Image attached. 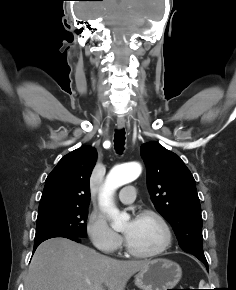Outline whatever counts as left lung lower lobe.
I'll return each instance as SVG.
<instances>
[{
    "label": "left lung lower lobe",
    "mask_w": 236,
    "mask_h": 290,
    "mask_svg": "<svg viewBox=\"0 0 236 290\" xmlns=\"http://www.w3.org/2000/svg\"><path fill=\"white\" fill-rule=\"evenodd\" d=\"M201 262H203V261H201ZM203 263L205 264L206 268H208V264L206 262H203Z\"/></svg>",
    "instance_id": "1"
}]
</instances>
